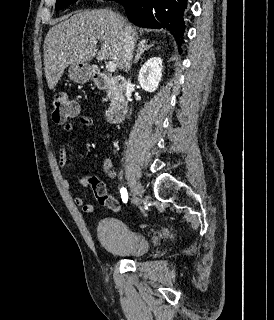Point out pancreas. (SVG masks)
Listing matches in <instances>:
<instances>
[{"label": "pancreas", "mask_w": 274, "mask_h": 320, "mask_svg": "<svg viewBox=\"0 0 274 320\" xmlns=\"http://www.w3.org/2000/svg\"><path fill=\"white\" fill-rule=\"evenodd\" d=\"M107 96L109 100H113V98H117L118 96L117 88H109V90H107Z\"/></svg>", "instance_id": "pancreas-1"}]
</instances>
